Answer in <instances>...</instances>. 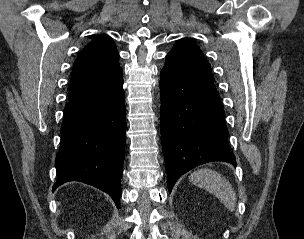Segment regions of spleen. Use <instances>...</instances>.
<instances>
[{"mask_svg":"<svg viewBox=\"0 0 304 239\" xmlns=\"http://www.w3.org/2000/svg\"><path fill=\"white\" fill-rule=\"evenodd\" d=\"M189 180L195 186L203 188L216 196L219 201L231 212L236 209V194L229 181L211 169H199L194 171Z\"/></svg>","mask_w":304,"mask_h":239,"instance_id":"1","label":"spleen"}]
</instances>
